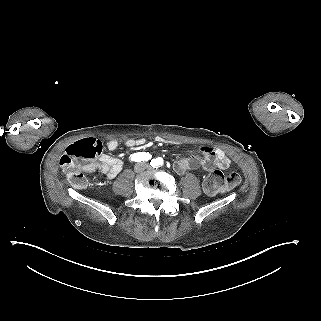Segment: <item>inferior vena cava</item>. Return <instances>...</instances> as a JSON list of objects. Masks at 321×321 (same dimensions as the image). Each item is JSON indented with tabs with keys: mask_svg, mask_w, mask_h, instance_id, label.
Wrapping results in <instances>:
<instances>
[{
	"mask_svg": "<svg viewBox=\"0 0 321 321\" xmlns=\"http://www.w3.org/2000/svg\"><path fill=\"white\" fill-rule=\"evenodd\" d=\"M141 169L143 168V167H145L146 169L149 167L147 164L145 165V166H143L142 164L139 166Z\"/></svg>",
	"mask_w": 321,
	"mask_h": 321,
	"instance_id": "1",
	"label": "inferior vena cava"
}]
</instances>
